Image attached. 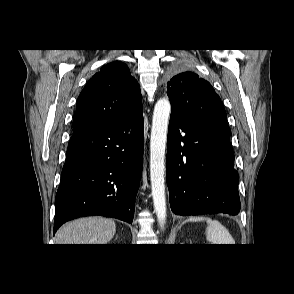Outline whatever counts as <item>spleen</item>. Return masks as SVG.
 I'll list each match as a JSON object with an SVG mask.
<instances>
[{
	"instance_id": "1",
	"label": "spleen",
	"mask_w": 294,
	"mask_h": 294,
	"mask_svg": "<svg viewBox=\"0 0 294 294\" xmlns=\"http://www.w3.org/2000/svg\"><path fill=\"white\" fill-rule=\"evenodd\" d=\"M188 222L206 221V239L212 244H235L229 231L217 220H212L209 217L196 216L189 217Z\"/></svg>"
}]
</instances>
